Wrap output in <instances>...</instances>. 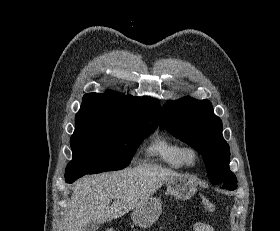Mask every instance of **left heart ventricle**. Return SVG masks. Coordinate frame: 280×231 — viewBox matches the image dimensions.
Segmentation results:
<instances>
[{"label":"left heart ventricle","instance_id":"1","mask_svg":"<svg viewBox=\"0 0 280 231\" xmlns=\"http://www.w3.org/2000/svg\"><path fill=\"white\" fill-rule=\"evenodd\" d=\"M187 161L190 165H194L196 163V157L192 152L187 154Z\"/></svg>","mask_w":280,"mask_h":231}]
</instances>
